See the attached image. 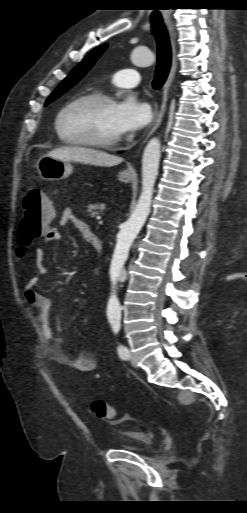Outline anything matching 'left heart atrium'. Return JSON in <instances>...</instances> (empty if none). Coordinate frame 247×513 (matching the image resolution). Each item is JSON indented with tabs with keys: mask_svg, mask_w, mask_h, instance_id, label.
<instances>
[{
	"mask_svg": "<svg viewBox=\"0 0 247 513\" xmlns=\"http://www.w3.org/2000/svg\"><path fill=\"white\" fill-rule=\"evenodd\" d=\"M151 119V110L146 102L128 95L115 105V122L121 135L143 128Z\"/></svg>",
	"mask_w": 247,
	"mask_h": 513,
	"instance_id": "39dd6f15",
	"label": "left heart atrium"
}]
</instances>
